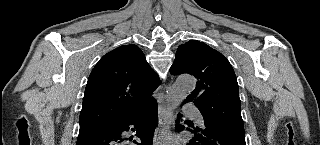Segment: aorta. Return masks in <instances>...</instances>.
<instances>
[{
  "mask_svg": "<svg viewBox=\"0 0 320 145\" xmlns=\"http://www.w3.org/2000/svg\"><path fill=\"white\" fill-rule=\"evenodd\" d=\"M196 81L192 76H179L167 93V103L170 110H174L195 88Z\"/></svg>",
  "mask_w": 320,
  "mask_h": 145,
  "instance_id": "762f6f07",
  "label": "aorta"
}]
</instances>
